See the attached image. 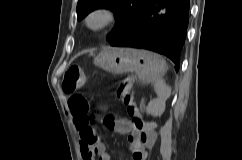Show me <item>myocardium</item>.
Wrapping results in <instances>:
<instances>
[{
  "instance_id": "1",
  "label": "myocardium",
  "mask_w": 242,
  "mask_h": 160,
  "mask_svg": "<svg viewBox=\"0 0 242 160\" xmlns=\"http://www.w3.org/2000/svg\"><path fill=\"white\" fill-rule=\"evenodd\" d=\"M117 22L116 12L106 6L96 7L85 16L86 28L93 33H100L110 28Z\"/></svg>"
}]
</instances>
